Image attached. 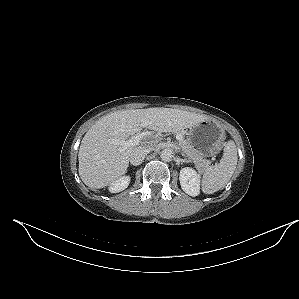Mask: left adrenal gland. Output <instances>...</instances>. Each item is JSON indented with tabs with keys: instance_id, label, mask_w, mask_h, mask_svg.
<instances>
[{
	"instance_id": "1",
	"label": "left adrenal gland",
	"mask_w": 299,
	"mask_h": 299,
	"mask_svg": "<svg viewBox=\"0 0 299 299\" xmlns=\"http://www.w3.org/2000/svg\"><path fill=\"white\" fill-rule=\"evenodd\" d=\"M181 155H182L183 157H187L184 153H181Z\"/></svg>"
}]
</instances>
